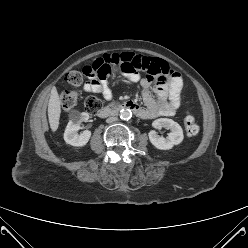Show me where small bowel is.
<instances>
[{
	"instance_id": "small-bowel-1",
	"label": "small bowel",
	"mask_w": 248,
	"mask_h": 248,
	"mask_svg": "<svg viewBox=\"0 0 248 248\" xmlns=\"http://www.w3.org/2000/svg\"><path fill=\"white\" fill-rule=\"evenodd\" d=\"M111 58L117 61L116 69L127 74L132 81L140 83L145 102V108L140 109L141 118L152 119L176 113L181 104L183 82L180 75L165 61L133 52L112 54ZM138 71L147 75L141 77ZM152 85L156 99L150 91ZM83 90L100 93L107 101L112 99V91L106 77L90 75L83 84Z\"/></svg>"
}]
</instances>
